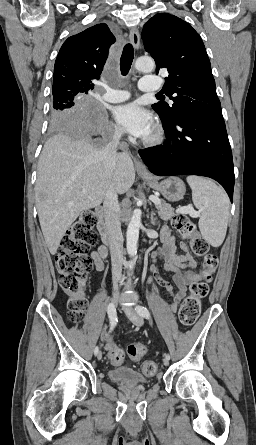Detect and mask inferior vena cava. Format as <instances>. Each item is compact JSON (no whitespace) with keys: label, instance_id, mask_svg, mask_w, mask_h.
I'll return each mask as SVG.
<instances>
[{"label":"inferior vena cava","instance_id":"inferior-vena-cava-1","mask_svg":"<svg viewBox=\"0 0 256 445\" xmlns=\"http://www.w3.org/2000/svg\"><path fill=\"white\" fill-rule=\"evenodd\" d=\"M123 131L116 128L113 138L102 151V158L108 171L114 170L117 161V148ZM104 217L107 229L108 244L111 253L112 280L113 287L117 291L123 285L122 265H123V235L121 232V222L118 214V195L112 185H109L104 198Z\"/></svg>","mask_w":256,"mask_h":445}]
</instances>
